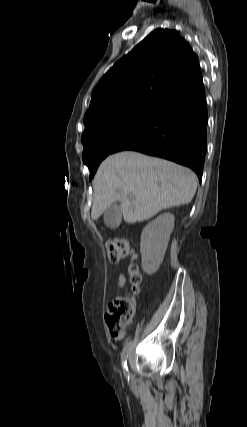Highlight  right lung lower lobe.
Wrapping results in <instances>:
<instances>
[{
	"label": "right lung lower lobe",
	"mask_w": 247,
	"mask_h": 427,
	"mask_svg": "<svg viewBox=\"0 0 247 427\" xmlns=\"http://www.w3.org/2000/svg\"><path fill=\"white\" fill-rule=\"evenodd\" d=\"M207 122L201 76L170 94L115 152L133 150L174 161L191 168L201 181L207 152Z\"/></svg>",
	"instance_id": "1"
}]
</instances>
